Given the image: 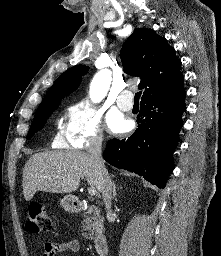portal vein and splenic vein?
Here are the masks:
<instances>
[{
  "label": "portal vein and splenic vein",
  "mask_w": 221,
  "mask_h": 256,
  "mask_svg": "<svg viewBox=\"0 0 221 256\" xmlns=\"http://www.w3.org/2000/svg\"><path fill=\"white\" fill-rule=\"evenodd\" d=\"M88 193H89V195L94 196V195H96L97 190L95 187L92 186V187L88 188Z\"/></svg>",
  "instance_id": "portal-vein-and-splenic-vein-1"
}]
</instances>
